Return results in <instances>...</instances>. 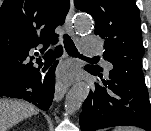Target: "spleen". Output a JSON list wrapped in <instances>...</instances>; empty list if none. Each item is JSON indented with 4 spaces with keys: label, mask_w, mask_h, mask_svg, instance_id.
I'll return each mask as SVG.
<instances>
[{
    "label": "spleen",
    "mask_w": 151,
    "mask_h": 131,
    "mask_svg": "<svg viewBox=\"0 0 151 131\" xmlns=\"http://www.w3.org/2000/svg\"><path fill=\"white\" fill-rule=\"evenodd\" d=\"M114 131H139V130L133 127L124 126V127H117L114 129Z\"/></svg>",
    "instance_id": "spleen-1"
}]
</instances>
